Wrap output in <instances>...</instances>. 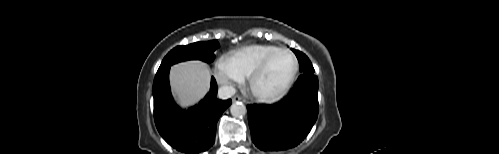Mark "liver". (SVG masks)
Wrapping results in <instances>:
<instances>
[{"mask_svg":"<svg viewBox=\"0 0 499 154\" xmlns=\"http://www.w3.org/2000/svg\"><path fill=\"white\" fill-rule=\"evenodd\" d=\"M211 72L201 61H186L171 67L173 94L181 107H188L205 96L210 86Z\"/></svg>","mask_w":499,"mask_h":154,"instance_id":"obj_1","label":"liver"}]
</instances>
